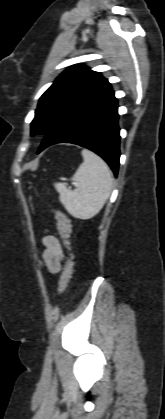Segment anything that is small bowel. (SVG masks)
Here are the masks:
<instances>
[{"label":"small bowel","mask_w":165,"mask_h":419,"mask_svg":"<svg viewBox=\"0 0 165 419\" xmlns=\"http://www.w3.org/2000/svg\"><path fill=\"white\" fill-rule=\"evenodd\" d=\"M43 250L41 253L43 266L53 274H60L65 259L59 240L52 235L42 239Z\"/></svg>","instance_id":"small-bowel-1"}]
</instances>
